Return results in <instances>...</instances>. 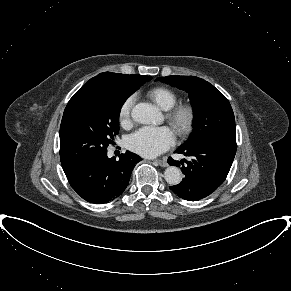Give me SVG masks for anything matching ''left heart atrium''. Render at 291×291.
Segmentation results:
<instances>
[{"label":"left heart atrium","instance_id":"1","mask_svg":"<svg viewBox=\"0 0 291 291\" xmlns=\"http://www.w3.org/2000/svg\"><path fill=\"white\" fill-rule=\"evenodd\" d=\"M174 141L175 136L170 128L145 126L128 137L127 146L142 156L154 157L169 149Z\"/></svg>","mask_w":291,"mask_h":291}]
</instances>
